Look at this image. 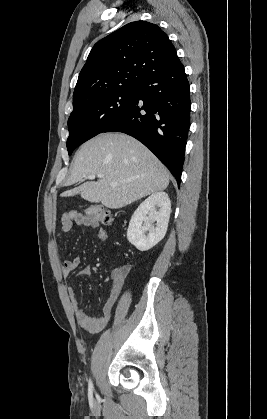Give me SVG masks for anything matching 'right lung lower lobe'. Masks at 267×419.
<instances>
[{"mask_svg":"<svg viewBox=\"0 0 267 419\" xmlns=\"http://www.w3.org/2000/svg\"><path fill=\"white\" fill-rule=\"evenodd\" d=\"M179 61L147 77L126 112L104 132H123L142 142L180 184L190 127V91Z\"/></svg>","mask_w":267,"mask_h":419,"instance_id":"98d812e1","label":"right lung lower lobe"}]
</instances>
